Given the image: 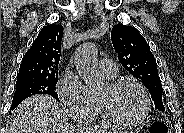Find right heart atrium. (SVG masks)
Listing matches in <instances>:
<instances>
[{
  "mask_svg": "<svg viewBox=\"0 0 184 133\" xmlns=\"http://www.w3.org/2000/svg\"><path fill=\"white\" fill-rule=\"evenodd\" d=\"M66 114L73 120L91 122L97 115V99L73 72H67L58 86Z\"/></svg>",
  "mask_w": 184,
  "mask_h": 133,
  "instance_id": "d8ad5b80",
  "label": "right heart atrium"
}]
</instances>
